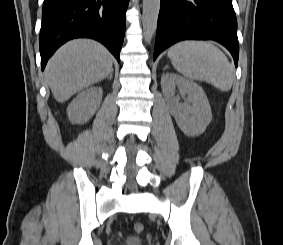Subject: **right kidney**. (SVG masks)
I'll use <instances>...</instances> for the list:
<instances>
[{
    "instance_id": "ca27d5eb",
    "label": "right kidney",
    "mask_w": 283,
    "mask_h": 245,
    "mask_svg": "<svg viewBox=\"0 0 283 245\" xmlns=\"http://www.w3.org/2000/svg\"><path fill=\"white\" fill-rule=\"evenodd\" d=\"M102 96L100 87H91L81 92L67 108L69 120L74 124L87 122L99 108Z\"/></svg>"
}]
</instances>
